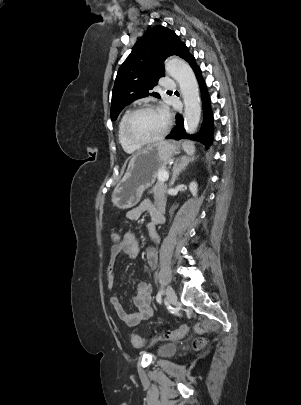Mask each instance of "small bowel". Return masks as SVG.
<instances>
[{"instance_id":"c3829d8e","label":"small bowel","mask_w":301,"mask_h":405,"mask_svg":"<svg viewBox=\"0 0 301 405\" xmlns=\"http://www.w3.org/2000/svg\"><path fill=\"white\" fill-rule=\"evenodd\" d=\"M144 213H148L150 216V222L147 226L150 237L153 241L158 242L160 240L155 226L161 224L164 221L162 206H156L152 201L146 199L143 200L138 206L127 212L126 217L129 220H137ZM119 245L113 246L110 252L109 264L106 271V282L110 290L113 289L115 283V271L117 258L120 254H127L130 258L134 259L139 253V242L137 238L131 232H126L123 236L120 234ZM148 265L151 269H154L158 263V252L156 248L149 247L146 251ZM109 302L115 310L119 319L129 326H135L140 322L149 319L153 314L152 303V287L146 282H141L137 286V292L133 298V304L135 310L133 312L126 311L116 294H111Z\"/></svg>"}]
</instances>
